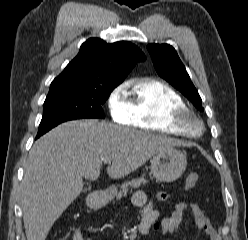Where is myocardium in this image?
I'll use <instances>...</instances> for the list:
<instances>
[{"instance_id":"1","label":"myocardium","mask_w":248,"mask_h":240,"mask_svg":"<svg viewBox=\"0 0 248 240\" xmlns=\"http://www.w3.org/2000/svg\"><path fill=\"white\" fill-rule=\"evenodd\" d=\"M169 123L182 134L197 137L204 129L202 120L188 107L173 109L168 116Z\"/></svg>"}]
</instances>
